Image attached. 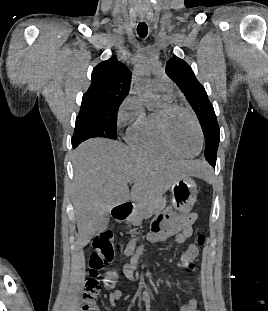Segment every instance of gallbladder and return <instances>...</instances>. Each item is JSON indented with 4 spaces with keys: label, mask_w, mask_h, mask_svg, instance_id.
I'll use <instances>...</instances> for the list:
<instances>
[{
    "label": "gallbladder",
    "mask_w": 268,
    "mask_h": 311,
    "mask_svg": "<svg viewBox=\"0 0 268 311\" xmlns=\"http://www.w3.org/2000/svg\"><path fill=\"white\" fill-rule=\"evenodd\" d=\"M108 222H109L108 217H104L103 219H100L98 222L100 225V229L101 228L105 229L108 225Z\"/></svg>",
    "instance_id": "1"
}]
</instances>
